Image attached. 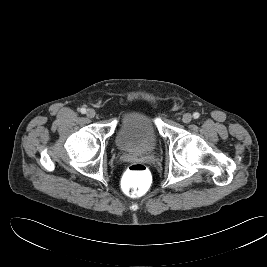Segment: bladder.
I'll use <instances>...</instances> for the list:
<instances>
[{
    "label": "bladder",
    "instance_id": "bladder-1",
    "mask_svg": "<svg viewBox=\"0 0 267 267\" xmlns=\"http://www.w3.org/2000/svg\"><path fill=\"white\" fill-rule=\"evenodd\" d=\"M159 134L153 118L146 111L134 109L121 119L115 143L124 151L146 152L158 143Z\"/></svg>",
    "mask_w": 267,
    "mask_h": 267
}]
</instances>
